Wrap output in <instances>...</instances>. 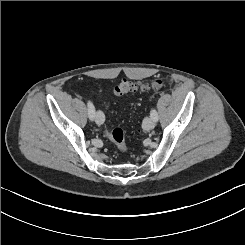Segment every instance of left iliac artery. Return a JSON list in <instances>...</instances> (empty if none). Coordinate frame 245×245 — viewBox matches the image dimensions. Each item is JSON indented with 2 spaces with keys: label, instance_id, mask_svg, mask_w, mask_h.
<instances>
[{
  "label": "left iliac artery",
  "instance_id": "obj_1",
  "mask_svg": "<svg viewBox=\"0 0 245 245\" xmlns=\"http://www.w3.org/2000/svg\"><path fill=\"white\" fill-rule=\"evenodd\" d=\"M150 116H151V118H152L154 121H157V120H158V114H157V111H156L155 109H152V110H151Z\"/></svg>",
  "mask_w": 245,
  "mask_h": 245
}]
</instances>
